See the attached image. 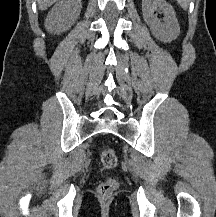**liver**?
Listing matches in <instances>:
<instances>
[{
	"label": "liver",
	"instance_id": "liver-1",
	"mask_svg": "<svg viewBox=\"0 0 216 217\" xmlns=\"http://www.w3.org/2000/svg\"><path fill=\"white\" fill-rule=\"evenodd\" d=\"M57 0H37L38 7L41 11L46 10L53 5Z\"/></svg>",
	"mask_w": 216,
	"mask_h": 217
}]
</instances>
